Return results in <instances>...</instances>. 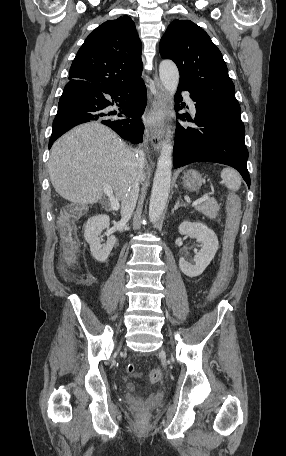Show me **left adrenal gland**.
Segmentation results:
<instances>
[{
  "label": "left adrenal gland",
  "mask_w": 286,
  "mask_h": 456,
  "mask_svg": "<svg viewBox=\"0 0 286 456\" xmlns=\"http://www.w3.org/2000/svg\"><path fill=\"white\" fill-rule=\"evenodd\" d=\"M185 206L184 204L180 203V199L176 201V204L174 208L172 209V214L174 213L175 210H177L179 207Z\"/></svg>",
  "instance_id": "obj_1"
}]
</instances>
